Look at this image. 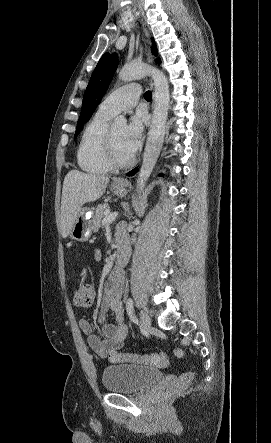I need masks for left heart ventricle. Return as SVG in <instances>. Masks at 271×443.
Here are the masks:
<instances>
[{
    "instance_id": "b2bd125f",
    "label": "left heart ventricle",
    "mask_w": 271,
    "mask_h": 443,
    "mask_svg": "<svg viewBox=\"0 0 271 443\" xmlns=\"http://www.w3.org/2000/svg\"><path fill=\"white\" fill-rule=\"evenodd\" d=\"M124 133H125V126L124 125H117V126L113 127L114 141H115V146H116L118 154L122 158H129L132 155L129 154L126 151V149L124 148V145H123Z\"/></svg>"
}]
</instances>
